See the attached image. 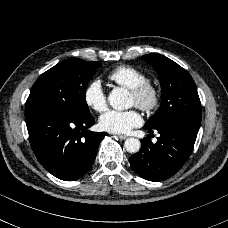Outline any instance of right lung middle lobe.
I'll list each match as a JSON object with an SVG mask.
<instances>
[{
	"label": "right lung middle lobe",
	"instance_id": "obj_1",
	"mask_svg": "<svg viewBox=\"0 0 228 228\" xmlns=\"http://www.w3.org/2000/svg\"><path fill=\"white\" fill-rule=\"evenodd\" d=\"M100 66V62L69 58L50 68L32 86L25 113L51 108L79 117L90 116L85 90Z\"/></svg>",
	"mask_w": 228,
	"mask_h": 228
}]
</instances>
